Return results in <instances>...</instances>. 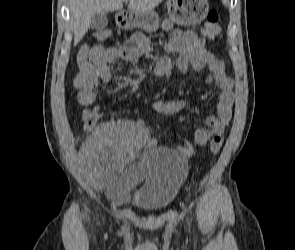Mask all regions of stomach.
Wrapping results in <instances>:
<instances>
[{
	"mask_svg": "<svg viewBox=\"0 0 295 250\" xmlns=\"http://www.w3.org/2000/svg\"><path fill=\"white\" fill-rule=\"evenodd\" d=\"M209 10L207 0H167L170 19L179 25H197L205 19ZM118 25L126 30L141 28L146 32L156 31L160 24L158 14L151 11H131L118 15Z\"/></svg>",
	"mask_w": 295,
	"mask_h": 250,
	"instance_id": "stomach-1",
	"label": "stomach"
}]
</instances>
